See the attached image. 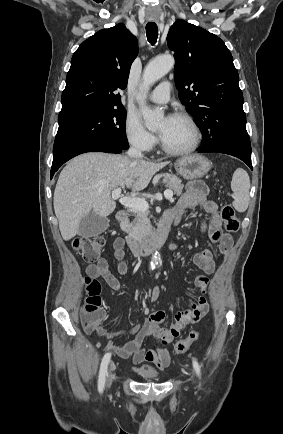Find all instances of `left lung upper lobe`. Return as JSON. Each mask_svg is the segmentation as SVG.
Listing matches in <instances>:
<instances>
[{"label": "left lung upper lobe", "mask_w": 283, "mask_h": 434, "mask_svg": "<svg viewBox=\"0 0 283 434\" xmlns=\"http://www.w3.org/2000/svg\"><path fill=\"white\" fill-rule=\"evenodd\" d=\"M179 99L202 132V149L251 157L239 75L225 43L184 20L169 30Z\"/></svg>", "instance_id": "left-lung-upper-lobe-1"}]
</instances>
